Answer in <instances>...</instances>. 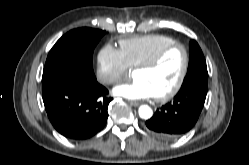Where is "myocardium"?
Here are the masks:
<instances>
[{
    "label": "myocardium",
    "mask_w": 249,
    "mask_h": 165,
    "mask_svg": "<svg viewBox=\"0 0 249 165\" xmlns=\"http://www.w3.org/2000/svg\"><path fill=\"white\" fill-rule=\"evenodd\" d=\"M176 48L181 49V51L183 52V57H184L183 67L175 85L166 93L154 96L155 99L159 102H164L171 99L180 91L184 83V80L186 78V75L188 73L189 64H190V56L188 49L181 43L178 42L171 43L169 45L162 47L153 57L135 67V70L153 69L163 60V58L166 56L167 53Z\"/></svg>",
    "instance_id": "f54148a6"
}]
</instances>
